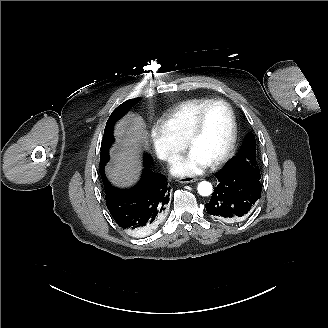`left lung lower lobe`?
Here are the masks:
<instances>
[{"mask_svg": "<svg viewBox=\"0 0 328 328\" xmlns=\"http://www.w3.org/2000/svg\"><path fill=\"white\" fill-rule=\"evenodd\" d=\"M219 184L206 210L215 218L229 222L243 218L261 196V183L254 173L222 169L215 173Z\"/></svg>", "mask_w": 328, "mask_h": 328, "instance_id": "1", "label": "left lung lower lobe"}]
</instances>
